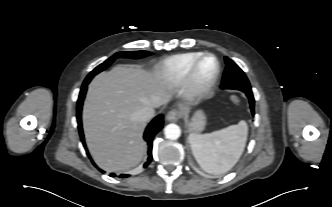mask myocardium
I'll return each instance as SVG.
<instances>
[{
	"instance_id": "myocardium-1",
	"label": "myocardium",
	"mask_w": 332,
	"mask_h": 207,
	"mask_svg": "<svg viewBox=\"0 0 332 207\" xmlns=\"http://www.w3.org/2000/svg\"><path fill=\"white\" fill-rule=\"evenodd\" d=\"M206 58H212L215 62V69L211 77L202 82L198 78V68L201 62ZM220 62L218 58L211 53H203L200 55L189 68L188 74L185 78L184 93L189 99H200L207 96L216 85L220 75Z\"/></svg>"
}]
</instances>
